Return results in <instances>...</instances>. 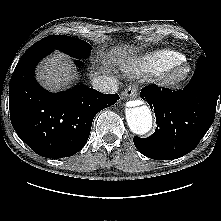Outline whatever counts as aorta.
Returning <instances> with one entry per match:
<instances>
[{
	"instance_id": "1",
	"label": "aorta",
	"mask_w": 221,
	"mask_h": 221,
	"mask_svg": "<svg viewBox=\"0 0 221 221\" xmlns=\"http://www.w3.org/2000/svg\"><path fill=\"white\" fill-rule=\"evenodd\" d=\"M125 116L130 130L137 135H144L152 128V114L148 106L141 105L126 108Z\"/></svg>"
}]
</instances>
